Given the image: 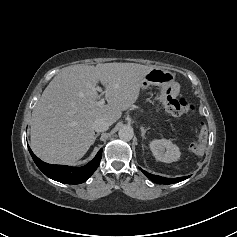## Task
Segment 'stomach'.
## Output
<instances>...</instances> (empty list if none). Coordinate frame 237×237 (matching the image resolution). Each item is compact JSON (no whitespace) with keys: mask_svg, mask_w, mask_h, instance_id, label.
<instances>
[{"mask_svg":"<svg viewBox=\"0 0 237 237\" xmlns=\"http://www.w3.org/2000/svg\"><path fill=\"white\" fill-rule=\"evenodd\" d=\"M174 80L175 73L162 68H153L144 76L141 87L147 89L150 85H155L164 88L171 85Z\"/></svg>","mask_w":237,"mask_h":237,"instance_id":"obj_1","label":"stomach"}]
</instances>
